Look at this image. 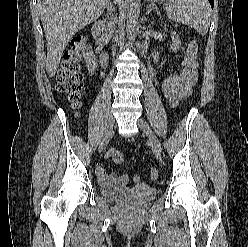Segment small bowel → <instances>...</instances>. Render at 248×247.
Wrapping results in <instances>:
<instances>
[{
  "label": "small bowel",
  "mask_w": 248,
  "mask_h": 247,
  "mask_svg": "<svg viewBox=\"0 0 248 247\" xmlns=\"http://www.w3.org/2000/svg\"><path fill=\"white\" fill-rule=\"evenodd\" d=\"M184 59L189 57V47L183 48L182 50ZM155 60H158V56H155ZM178 81V91L172 104L176 105L179 101L188 97L191 93L192 87L197 81V61L196 59L187 66L179 75H177ZM97 175L99 181L104 185H116L125 186L129 182V176L126 174L117 176L115 174H110L106 171L105 167L99 166L97 168Z\"/></svg>",
  "instance_id": "c3829d8e"
}]
</instances>
